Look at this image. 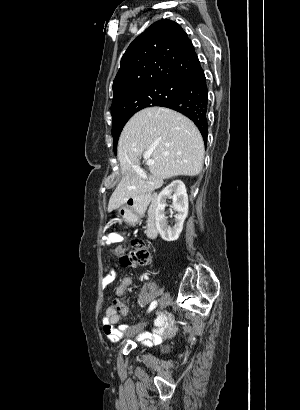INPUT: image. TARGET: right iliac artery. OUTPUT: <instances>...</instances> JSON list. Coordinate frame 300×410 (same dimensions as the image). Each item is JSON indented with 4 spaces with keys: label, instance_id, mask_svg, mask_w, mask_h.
Wrapping results in <instances>:
<instances>
[{
    "label": "right iliac artery",
    "instance_id": "1",
    "mask_svg": "<svg viewBox=\"0 0 300 410\" xmlns=\"http://www.w3.org/2000/svg\"><path fill=\"white\" fill-rule=\"evenodd\" d=\"M157 306V301H153L148 309V311H152Z\"/></svg>",
    "mask_w": 300,
    "mask_h": 410
}]
</instances>
